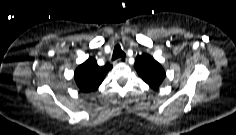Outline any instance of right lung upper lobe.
<instances>
[{
	"label": "right lung upper lobe",
	"instance_id": "1",
	"mask_svg": "<svg viewBox=\"0 0 236 135\" xmlns=\"http://www.w3.org/2000/svg\"><path fill=\"white\" fill-rule=\"evenodd\" d=\"M111 68L112 65L109 63L99 66L94 58L89 57L77 67L74 72V79L81 92H92L99 87Z\"/></svg>",
	"mask_w": 236,
	"mask_h": 135
}]
</instances>
